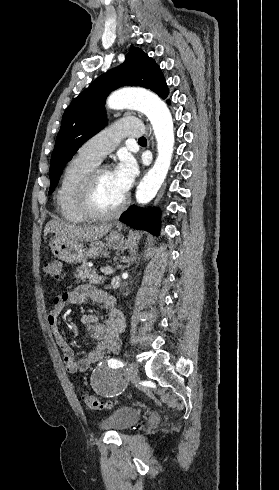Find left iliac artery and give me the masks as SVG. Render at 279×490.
Returning <instances> with one entry per match:
<instances>
[{"mask_svg":"<svg viewBox=\"0 0 279 490\" xmlns=\"http://www.w3.org/2000/svg\"><path fill=\"white\" fill-rule=\"evenodd\" d=\"M108 364L112 367V368H120V367H123V362L120 361V360H116V359H110L108 361Z\"/></svg>","mask_w":279,"mask_h":490,"instance_id":"obj_1","label":"left iliac artery"}]
</instances>
